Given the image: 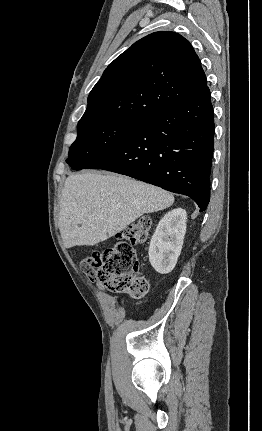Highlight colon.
I'll return each instance as SVG.
<instances>
[{"label":"colon","instance_id":"5ec220e1","mask_svg":"<svg viewBox=\"0 0 262 431\" xmlns=\"http://www.w3.org/2000/svg\"><path fill=\"white\" fill-rule=\"evenodd\" d=\"M152 227L150 217L122 230L115 243L101 249L94 257L83 256V272L111 292L127 293L134 299L143 298L148 282L139 270V259L134 247L145 241Z\"/></svg>","mask_w":262,"mask_h":431}]
</instances>
